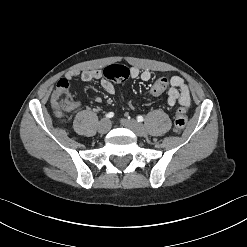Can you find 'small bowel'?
<instances>
[{
	"label": "small bowel",
	"instance_id": "obj_1",
	"mask_svg": "<svg viewBox=\"0 0 247 247\" xmlns=\"http://www.w3.org/2000/svg\"><path fill=\"white\" fill-rule=\"evenodd\" d=\"M151 76H152L151 72L148 70L141 71L137 67H132L130 69V77L132 79H140L144 82H148L151 79ZM74 78H80L84 82L100 81L103 89L107 93L114 94L115 92L114 85L109 80L104 78L103 72L100 70H85V71L74 70L67 73L65 78L61 79L59 82L66 83L69 87L70 80ZM168 83L170 85V88L168 90V98H167L168 105L174 106L176 104H180L185 108L189 107L190 93L184 80L178 75H173L170 77ZM95 101L101 102V97L96 96ZM79 106H80L79 101L73 103V108H77Z\"/></svg>",
	"mask_w": 247,
	"mask_h": 247
}]
</instances>
